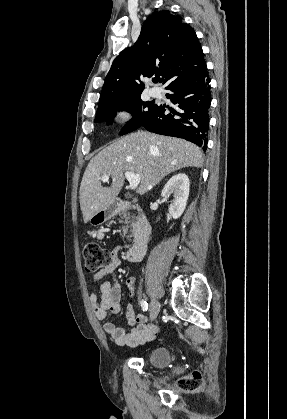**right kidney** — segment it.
Returning <instances> with one entry per match:
<instances>
[{"label":"right kidney","instance_id":"1","mask_svg":"<svg viewBox=\"0 0 287 419\" xmlns=\"http://www.w3.org/2000/svg\"><path fill=\"white\" fill-rule=\"evenodd\" d=\"M173 193L174 200L170 204L169 213L173 219H178L184 212L189 196V179L183 174L174 175L164 186L161 196L167 198Z\"/></svg>","mask_w":287,"mask_h":419}]
</instances>
